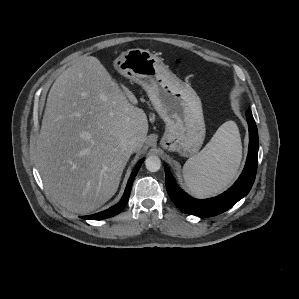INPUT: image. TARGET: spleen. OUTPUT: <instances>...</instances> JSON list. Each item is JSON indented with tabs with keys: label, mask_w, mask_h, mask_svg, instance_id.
<instances>
[{
	"label": "spleen",
	"mask_w": 299,
	"mask_h": 299,
	"mask_svg": "<svg viewBox=\"0 0 299 299\" xmlns=\"http://www.w3.org/2000/svg\"><path fill=\"white\" fill-rule=\"evenodd\" d=\"M241 157L238 127L234 121H227L199 153L186 161L183 167L185 183L198 197L215 195L233 181Z\"/></svg>",
	"instance_id": "spleen-1"
}]
</instances>
